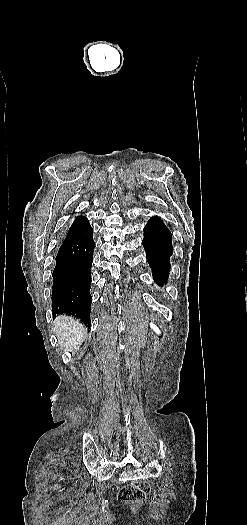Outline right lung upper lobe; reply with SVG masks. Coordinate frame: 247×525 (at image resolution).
<instances>
[{
  "label": "right lung upper lobe",
  "instance_id": "1",
  "mask_svg": "<svg viewBox=\"0 0 247 525\" xmlns=\"http://www.w3.org/2000/svg\"><path fill=\"white\" fill-rule=\"evenodd\" d=\"M88 224H89V221H88V219L85 216H82V215L77 216L74 219V221H73L71 227L69 228L67 234H70V233H73L75 231H78V230L86 227Z\"/></svg>",
  "mask_w": 247,
  "mask_h": 525
}]
</instances>
